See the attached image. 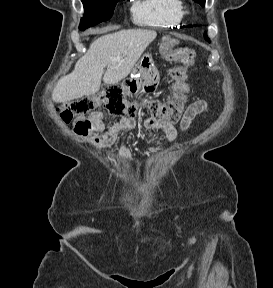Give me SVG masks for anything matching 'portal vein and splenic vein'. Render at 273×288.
<instances>
[{
    "label": "portal vein and splenic vein",
    "instance_id": "18ae733b",
    "mask_svg": "<svg viewBox=\"0 0 273 288\" xmlns=\"http://www.w3.org/2000/svg\"><path fill=\"white\" fill-rule=\"evenodd\" d=\"M114 60L119 61V60H120V57L114 58Z\"/></svg>",
    "mask_w": 273,
    "mask_h": 288
}]
</instances>
